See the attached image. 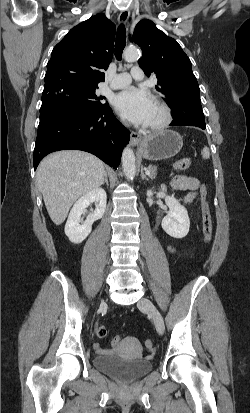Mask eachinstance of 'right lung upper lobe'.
I'll return each mask as SVG.
<instances>
[{"mask_svg":"<svg viewBox=\"0 0 250 413\" xmlns=\"http://www.w3.org/2000/svg\"><path fill=\"white\" fill-rule=\"evenodd\" d=\"M115 25L103 14L72 28L53 48L43 94L66 86L98 87L111 62Z\"/></svg>","mask_w":250,"mask_h":413,"instance_id":"1","label":"right lung upper lobe"}]
</instances>
